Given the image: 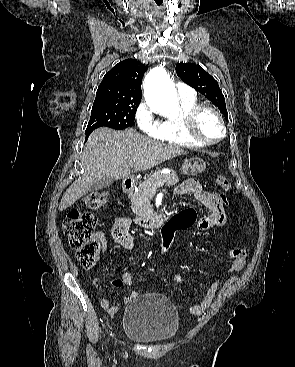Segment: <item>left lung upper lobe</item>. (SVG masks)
Segmentation results:
<instances>
[{"label": "left lung upper lobe", "mask_w": 295, "mask_h": 367, "mask_svg": "<svg viewBox=\"0 0 295 367\" xmlns=\"http://www.w3.org/2000/svg\"><path fill=\"white\" fill-rule=\"evenodd\" d=\"M176 73L181 80L210 100L227 118L225 99L218 82L202 67L194 63H179Z\"/></svg>", "instance_id": "obj_1"}]
</instances>
